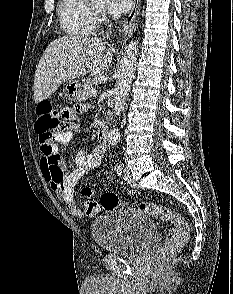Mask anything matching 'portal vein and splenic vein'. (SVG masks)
Instances as JSON below:
<instances>
[{"label":"portal vein and splenic vein","mask_w":233,"mask_h":294,"mask_svg":"<svg viewBox=\"0 0 233 294\" xmlns=\"http://www.w3.org/2000/svg\"><path fill=\"white\" fill-rule=\"evenodd\" d=\"M90 95L96 96L97 95V90L92 88L89 90Z\"/></svg>","instance_id":"1"}]
</instances>
